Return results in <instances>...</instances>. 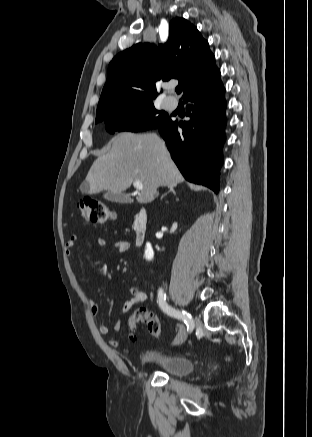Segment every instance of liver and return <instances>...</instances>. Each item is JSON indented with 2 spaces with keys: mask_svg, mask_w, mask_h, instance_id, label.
<instances>
[{
  "mask_svg": "<svg viewBox=\"0 0 312 437\" xmlns=\"http://www.w3.org/2000/svg\"><path fill=\"white\" fill-rule=\"evenodd\" d=\"M110 151L92 164L83 192L95 194L107 190L121 194L138 180L143 189L138 194L139 203H149L160 186H176L184 181L171 159L164 141L154 133H121L111 140Z\"/></svg>",
  "mask_w": 312,
  "mask_h": 437,
  "instance_id": "6515ba94",
  "label": "liver"
}]
</instances>
